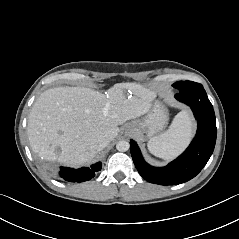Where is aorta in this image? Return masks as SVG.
<instances>
[{
	"label": "aorta",
	"mask_w": 239,
	"mask_h": 239,
	"mask_svg": "<svg viewBox=\"0 0 239 239\" xmlns=\"http://www.w3.org/2000/svg\"><path fill=\"white\" fill-rule=\"evenodd\" d=\"M129 142L126 140H121L116 144V149L120 152H125L129 149Z\"/></svg>",
	"instance_id": "obj_1"
}]
</instances>
